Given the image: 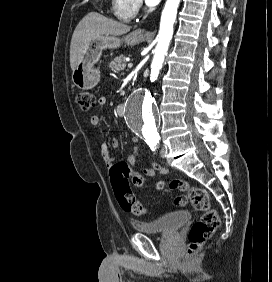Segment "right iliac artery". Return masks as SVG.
Here are the masks:
<instances>
[{
	"label": "right iliac artery",
	"instance_id": "1",
	"mask_svg": "<svg viewBox=\"0 0 272 282\" xmlns=\"http://www.w3.org/2000/svg\"><path fill=\"white\" fill-rule=\"evenodd\" d=\"M147 144L150 146V148L154 151L155 150V146H156V143L155 142H147Z\"/></svg>",
	"mask_w": 272,
	"mask_h": 282
}]
</instances>
